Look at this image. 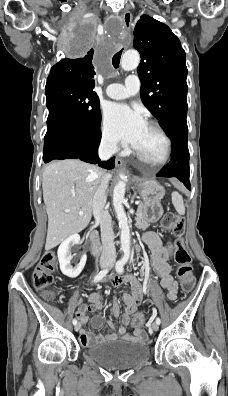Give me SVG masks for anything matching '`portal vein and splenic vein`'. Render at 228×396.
Returning a JSON list of instances; mask_svg holds the SVG:
<instances>
[{
    "instance_id": "18ae733b",
    "label": "portal vein and splenic vein",
    "mask_w": 228,
    "mask_h": 396,
    "mask_svg": "<svg viewBox=\"0 0 228 396\" xmlns=\"http://www.w3.org/2000/svg\"><path fill=\"white\" fill-rule=\"evenodd\" d=\"M83 214H84V212L80 210L79 211V215H83Z\"/></svg>"
}]
</instances>
